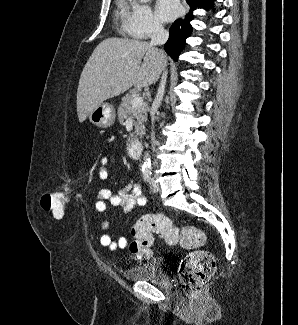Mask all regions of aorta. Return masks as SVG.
<instances>
[{"mask_svg":"<svg viewBox=\"0 0 298 325\" xmlns=\"http://www.w3.org/2000/svg\"><path fill=\"white\" fill-rule=\"evenodd\" d=\"M139 2H149V0H139ZM150 150H147V152H145V156L142 160V173H150L151 169H152V160H151V156L149 154Z\"/></svg>","mask_w":298,"mask_h":325,"instance_id":"1","label":"aorta"}]
</instances>
